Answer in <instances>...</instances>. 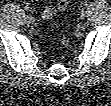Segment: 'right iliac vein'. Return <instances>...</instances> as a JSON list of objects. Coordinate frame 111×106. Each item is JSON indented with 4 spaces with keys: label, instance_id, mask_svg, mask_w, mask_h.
I'll list each match as a JSON object with an SVG mask.
<instances>
[{
    "label": "right iliac vein",
    "instance_id": "63e3f726",
    "mask_svg": "<svg viewBox=\"0 0 111 106\" xmlns=\"http://www.w3.org/2000/svg\"><path fill=\"white\" fill-rule=\"evenodd\" d=\"M32 21H33L32 17H29V18L25 19V22H26L27 24H31Z\"/></svg>",
    "mask_w": 111,
    "mask_h": 106
}]
</instances>
